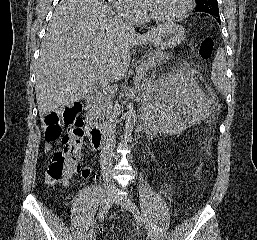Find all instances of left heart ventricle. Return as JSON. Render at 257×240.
Returning a JSON list of instances; mask_svg holds the SVG:
<instances>
[{"instance_id": "obj_1", "label": "left heart ventricle", "mask_w": 257, "mask_h": 240, "mask_svg": "<svg viewBox=\"0 0 257 240\" xmlns=\"http://www.w3.org/2000/svg\"><path fill=\"white\" fill-rule=\"evenodd\" d=\"M152 11L159 16H169L177 13L184 0H147Z\"/></svg>"}]
</instances>
